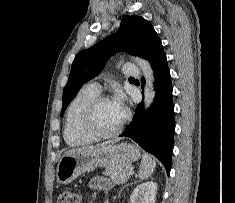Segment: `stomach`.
Segmentation results:
<instances>
[{
  "label": "stomach",
  "instance_id": "1",
  "mask_svg": "<svg viewBox=\"0 0 235 203\" xmlns=\"http://www.w3.org/2000/svg\"><path fill=\"white\" fill-rule=\"evenodd\" d=\"M139 158V149L129 143L77 151L73 154H65L60 159L56 178L60 184H69L81 174L91 172L97 167L131 164Z\"/></svg>",
  "mask_w": 235,
  "mask_h": 203
}]
</instances>
